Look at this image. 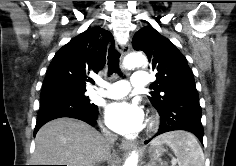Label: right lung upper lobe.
<instances>
[{"instance_id":"obj_1","label":"right lung upper lobe","mask_w":236,"mask_h":166,"mask_svg":"<svg viewBox=\"0 0 236 166\" xmlns=\"http://www.w3.org/2000/svg\"><path fill=\"white\" fill-rule=\"evenodd\" d=\"M110 42H114L112 34L100 27L88 28L71 39L52 59L42 89L53 86L86 89V83L91 81L87 74L98 73L104 67Z\"/></svg>"}]
</instances>
